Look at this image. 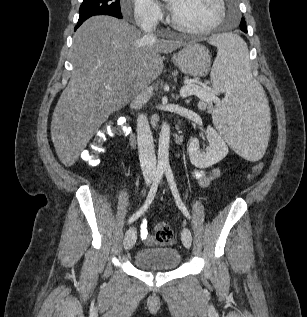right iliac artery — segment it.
Segmentation results:
<instances>
[{"instance_id": "obj_1", "label": "right iliac artery", "mask_w": 307, "mask_h": 317, "mask_svg": "<svg viewBox=\"0 0 307 317\" xmlns=\"http://www.w3.org/2000/svg\"><path fill=\"white\" fill-rule=\"evenodd\" d=\"M163 171H164V168L162 166L157 167V169L155 171V175H154V180H153V183L150 187L146 201H145L144 205L129 219V222H128L129 224L132 223L133 221H135L139 216H141L148 209L149 205L152 203V201L156 195L158 185H159L160 180L162 178Z\"/></svg>"}]
</instances>
